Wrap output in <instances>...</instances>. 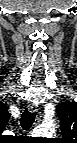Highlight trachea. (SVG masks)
<instances>
[{
  "mask_svg": "<svg viewBox=\"0 0 77 143\" xmlns=\"http://www.w3.org/2000/svg\"><path fill=\"white\" fill-rule=\"evenodd\" d=\"M36 112H30L27 108L21 115L20 125L23 130H28L31 128L32 124L35 121Z\"/></svg>",
  "mask_w": 77,
  "mask_h": 143,
  "instance_id": "1",
  "label": "trachea"
}]
</instances>
